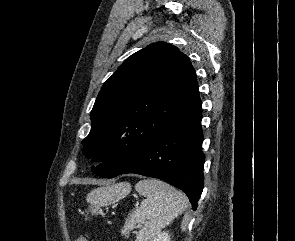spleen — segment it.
Returning <instances> with one entry per match:
<instances>
[{
	"label": "spleen",
	"instance_id": "obj_1",
	"mask_svg": "<svg viewBox=\"0 0 295 241\" xmlns=\"http://www.w3.org/2000/svg\"><path fill=\"white\" fill-rule=\"evenodd\" d=\"M135 189L145 199L141 201L138 208L128 214L121 229V234L128 236L138 224L141 229L137 232L135 241H152L161 229L168 226L188 208L186 196L160 180H140L135 185Z\"/></svg>",
	"mask_w": 295,
	"mask_h": 241
}]
</instances>
